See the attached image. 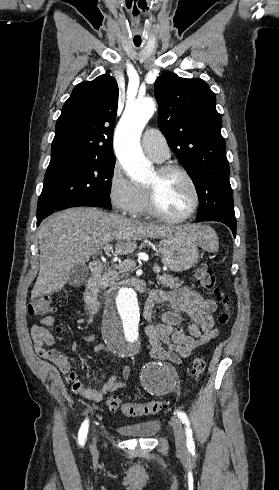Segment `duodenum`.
<instances>
[{"label":"duodenum","instance_id":"410a0bca","mask_svg":"<svg viewBox=\"0 0 279 490\" xmlns=\"http://www.w3.org/2000/svg\"><path fill=\"white\" fill-rule=\"evenodd\" d=\"M91 277L88 282V286L84 291V302L86 308L91 312H96L99 309V300L96 291V280L104 270V265L100 261H92L90 264ZM124 286L132 287L140 292L145 290V285L142 281L137 279H128L123 282Z\"/></svg>","mask_w":279,"mask_h":490}]
</instances>
